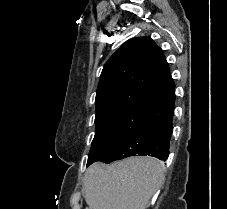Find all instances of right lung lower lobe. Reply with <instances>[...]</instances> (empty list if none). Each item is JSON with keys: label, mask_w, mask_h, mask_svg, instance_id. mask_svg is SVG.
Segmentation results:
<instances>
[{"label": "right lung lower lobe", "mask_w": 227, "mask_h": 209, "mask_svg": "<svg viewBox=\"0 0 227 209\" xmlns=\"http://www.w3.org/2000/svg\"><path fill=\"white\" fill-rule=\"evenodd\" d=\"M167 77L169 83L174 84L170 69ZM174 102L175 90L167 97L152 104L148 116L139 129L101 162L111 163L130 156H152L160 160H167L173 129Z\"/></svg>", "instance_id": "1"}]
</instances>
